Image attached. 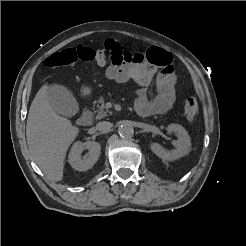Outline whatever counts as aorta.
<instances>
[{
  "label": "aorta",
  "instance_id": "762f6f07",
  "mask_svg": "<svg viewBox=\"0 0 246 246\" xmlns=\"http://www.w3.org/2000/svg\"><path fill=\"white\" fill-rule=\"evenodd\" d=\"M119 135L122 138H131L134 134V129L132 127V125L128 124V123H124L122 124L119 129H118Z\"/></svg>",
  "mask_w": 246,
  "mask_h": 246
}]
</instances>
